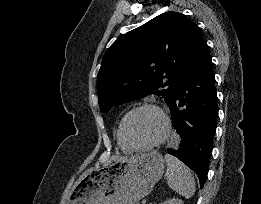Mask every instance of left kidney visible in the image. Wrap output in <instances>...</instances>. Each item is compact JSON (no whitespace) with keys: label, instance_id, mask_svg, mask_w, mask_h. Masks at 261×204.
<instances>
[{"label":"left kidney","instance_id":"left-kidney-1","mask_svg":"<svg viewBox=\"0 0 261 204\" xmlns=\"http://www.w3.org/2000/svg\"><path fill=\"white\" fill-rule=\"evenodd\" d=\"M160 204H184V203L181 199L173 198V199H168Z\"/></svg>","mask_w":261,"mask_h":204}]
</instances>
